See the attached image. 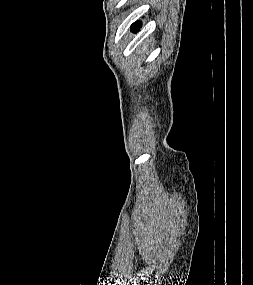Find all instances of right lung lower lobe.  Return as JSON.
<instances>
[{
  "label": "right lung lower lobe",
  "mask_w": 253,
  "mask_h": 285,
  "mask_svg": "<svg viewBox=\"0 0 253 285\" xmlns=\"http://www.w3.org/2000/svg\"><path fill=\"white\" fill-rule=\"evenodd\" d=\"M140 26H141L140 22L132 24L131 31L137 32L139 30Z\"/></svg>",
  "instance_id": "1"
}]
</instances>
